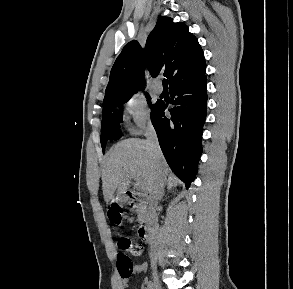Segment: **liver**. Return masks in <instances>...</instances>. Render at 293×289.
<instances>
[{
  "label": "liver",
  "instance_id": "obj_1",
  "mask_svg": "<svg viewBox=\"0 0 293 289\" xmlns=\"http://www.w3.org/2000/svg\"><path fill=\"white\" fill-rule=\"evenodd\" d=\"M170 169L163 154H154L146 140H123L107 154L102 170V189L106 202L114 195L127 192L130 180L138 178L142 189L149 192L161 175L165 181Z\"/></svg>",
  "mask_w": 293,
  "mask_h": 289
}]
</instances>
